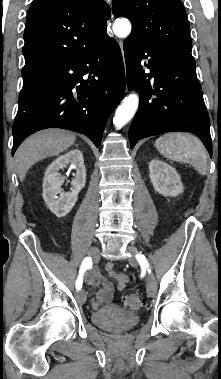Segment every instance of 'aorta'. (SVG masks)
Wrapping results in <instances>:
<instances>
[{
	"mask_svg": "<svg viewBox=\"0 0 221 379\" xmlns=\"http://www.w3.org/2000/svg\"><path fill=\"white\" fill-rule=\"evenodd\" d=\"M113 31L117 37L125 38L131 32V23L126 18H120L113 24ZM139 103V97L136 93H132L125 97L122 103L118 106L113 124L117 128L124 126L135 114Z\"/></svg>",
	"mask_w": 221,
	"mask_h": 379,
	"instance_id": "aorta-1",
	"label": "aorta"
}]
</instances>
